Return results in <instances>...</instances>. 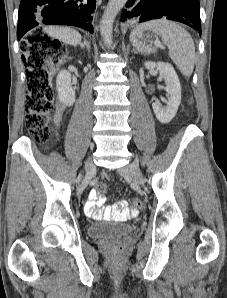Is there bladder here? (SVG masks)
<instances>
[{
  "mask_svg": "<svg viewBox=\"0 0 227 298\" xmlns=\"http://www.w3.org/2000/svg\"><path fill=\"white\" fill-rule=\"evenodd\" d=\"M133 229V225L129 223L107 221L91 224L87 233L91 238L109 239L124 237L130 234Z\"/></svg>",
  "mask_w": 227,
  "mask_h": 298,
  "instance_id": "1",
  "label": "bladder"
}]
</instances>
